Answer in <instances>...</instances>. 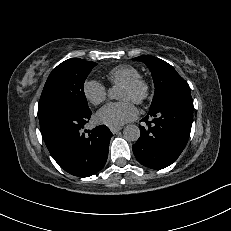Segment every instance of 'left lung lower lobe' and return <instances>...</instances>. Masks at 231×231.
Wrapping results in <instances>:
<instances>
[{
	"label": "left lung lower lobe",
	"instance_id": "left-lung-lower-lobe-1",
	"mask_svg": "<svg viewBox=\"0 0 231 231\" xmlns=\"http://www.w3.org/2000/svg\"><path fill=\"white\" fill-rule=\"evenodd\" d=\"M191 94H174L151 108L140 127L133 153L142 165L162 169L171 165L185 148L192 125Z\"/></svg>",
	"mask_w": 231,
	"mask_h": 231
}]
</instances>
